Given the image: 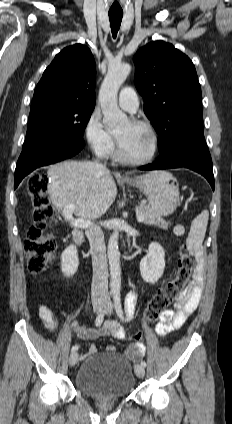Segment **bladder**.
<instances>
[{
	"instance_id": "1",
	"label": "bladder",
	"mask_w": 232,
	"mask_h": 424,
	"mask_svg": "<svg viewBox=\"0 0 232 424\" xmlns=\"http://www.w3.org/2000/svg\"><path fill=\"white\" fill-rule=\"evenodd\" d=\"M135 382L132 364L117 353L86 358L75 379L77 389L94 398L126 397Z\"/></svg>"
}]
</instances>
